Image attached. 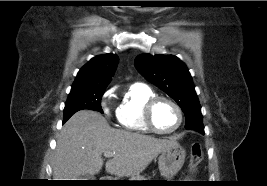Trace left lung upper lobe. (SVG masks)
I'll use <instances>...</instances> for the list:
<instances>
[{"instance_id": "5c2ea615", "label": "left lung upper lobe", "mask_w": 267, "mask_h": 186, "mask_svg": "<svg viewBox=\"0 0 267 186\" xmlns=\"http://www.w3.org/2000/svg\"><path fill=\"white\" fill-rule=\"evenodd\" d=\"M138 71L166 92L185 114V128L204 133L201 106L186 65L174 55L141 54L136 57Z\"/></svg>"}]
</instances>
